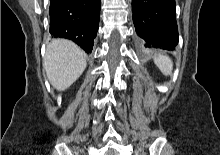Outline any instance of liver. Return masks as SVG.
Segmentation results:
<instances>
[{
	"mask_svg": "<svg viewBox=\"0 0 220 155\" xmlns=\"http://www.w3.org/2000/svg\"><path fill=\"white\" fill-rule=\"evenodd\" d=\"M86 54L73 42L55 39L47 46L43 67L52 86L69 88L86 68Z\"/></svg>",
	"mask_w": 220,
	"mask_h": 155,
	"instance_id": "1",
	"label": "liver"
}]
</instances>
